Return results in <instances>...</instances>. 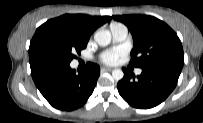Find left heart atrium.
<instances>
[{
    "label": "left heart atrium",
    "mask_w": 203,
    "mask_h": 123,
    "mask_svg": "<svg viewBox=\"0 0 203 123\" xmlns=\"http://www.w3.org/2000/svg\"><path fill=\"white\" fill-rule=\"evenodd\" d=\"M121 54H122V51L120 50H111V51L105 52L102 55L101 59L106 64H114L118 61Z\"/></svg>",
    "instance_id": "obj_1"
}]
</instances>
